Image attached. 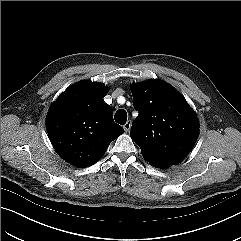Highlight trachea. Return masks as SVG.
Masks as SVG:
<instances>
[{
  "label": "trachea",
  "instance_id": "obj_1",
  "mask_svg": "<svg viewBox=\"0 0 241 241\" xmlns=\"http://www.w3.org/2000/svg\"><path fill=\"white\" fill-rule=\"evenodd\" d=\"M115 121L118 124H125L127 121V112L124 109H119L116 113H115Z\"/></svg>",
  "mask_w": 241,
  "mask_h": 241
}]
</instances>
